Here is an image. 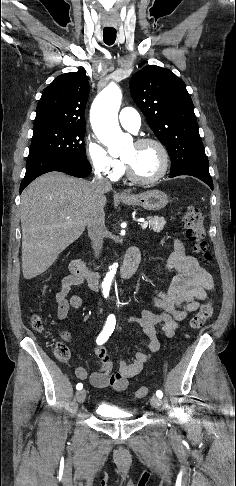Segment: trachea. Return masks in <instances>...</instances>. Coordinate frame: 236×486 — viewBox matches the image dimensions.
<instances>
[{"instance_id":"trachea-1","label":"trachea","mask_w":236,"mask_h":486,"mask_svg":"<svg viewBox=\"0 0 236 486\" xmlns=\"http://www.w3.org/2000/svg\"><path fill=\"white\" fill-rule=\"evenodd\" d=\"M103 38H104V42L107 45H112L116 40V30L110 29V28H105L103 30Z\"/></svg>"}]
</instances>
